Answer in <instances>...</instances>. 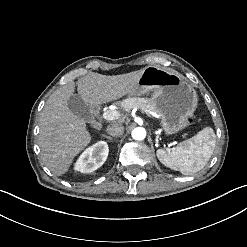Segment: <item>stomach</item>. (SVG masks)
Returning a JSON list of instances; mask_svg holds the SVG:
<instances>
[{
    "label": "stomach",
    "mask_w": 247,
    "mask_h": 247,
    "mask_svg": "<svg viewBox=\"0 0 247 247\" xmlns=\"http://www.w3.org/2000/svg\"><path fill=\"white\" fill-rule=\"evenodd\" d=\"M148 93H151L154 112L160 115L166 134L177 133L190 124L189 119L198 105V95L184 76L174 70L147 66L129 95Z\"/></svg>",
    "instance_id": "stomach-1"
}]
</instances>
